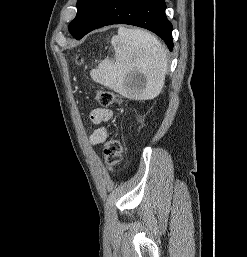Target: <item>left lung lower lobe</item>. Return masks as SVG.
Instances as JSON below:
<instances>
[{"mask_svg":"<svg viewBox=\"0 0 247 257\" xmlns=\"http://www.w3.org/2000/svg\"><path fill=\"white\" fill-rule=\"evenodd\" d=\"M164 0H97L80 30L77 40L90 31L111 24H130L146 28L173 49L172 24L165 15Z\"/></svg>","mask_w":247,"mask_h":257,"instance_id":"left-lung-lower-lobe-1","label":"left lung lower lobe"}]
</instances>
